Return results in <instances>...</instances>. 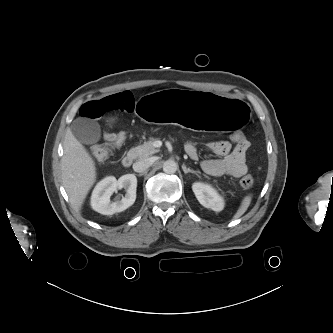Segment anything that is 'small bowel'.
Returning a JSON list of instances; mask_svg holds the SVG:
<instances>
[{
    "label": "small bowel",
    "mask_w": 333,
    "mask_h": 333,
    "mask_svg": "<svg viewBox=\"0 0 333 333\" xmlns=\"http://www.w3.org/2000/svg\"><path fill=\"white\" fill-rule=\"evenodd\" d=\"M134 108L135 100L133 95L128 91H124L101 99L88 101L80 107L79 113L84 119L95 120L111 111L132 112ZM112 135V133L107 134V139ZM208 147L220 158L205 159L201 162L202 169L207 174L212 176L230 175L241 177L247 172L246 154L250 147V143L247 140L236 144L234 147L224 141L211 142ZM185 151L190 158H198V150L194 144H187Z\"/></svg>",
    "instance_id": "c3829d8e"
}]
</instances>
